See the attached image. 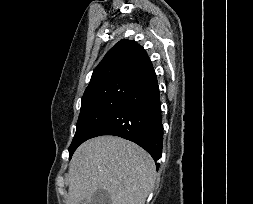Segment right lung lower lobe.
<instances>
[{
	"label": "right lung lower lobe",
	"mask_w": 253,
	"mask_h": 204,
	"mask_svg": "<svg viewBox=\"0 0 253 204\" xmlns=\"http://www.w3.org/2000/svg\"><path fill=\"white\" fill-rule=\"evenodd\" d=\"M101 135H115L133 141L144 148L154 161L161 158L163 125L154 70L137 83L91 138ZM159 166L156 163L157 169Z\"/></svg>",
	"instance_id": "1"
}]
</instances>
